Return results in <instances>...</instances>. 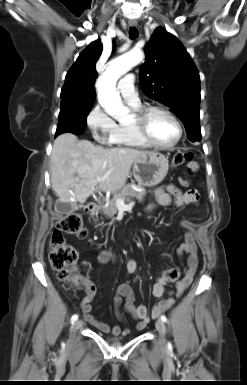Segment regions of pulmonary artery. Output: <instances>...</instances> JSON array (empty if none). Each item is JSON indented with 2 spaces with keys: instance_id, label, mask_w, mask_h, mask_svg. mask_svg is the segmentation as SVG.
Wrapping results in <instances>:
<instances>
[{
  "instance_id": "e3ab8cb5",
  "label": "pulmonary artery",
  "mask_w": 247,
  "mask_h": 385,
  "mask_svg": "<svg viewBox=\"0 0 247 385\" xmlns=\"http://www.w3.org/2000/svg\"><path fill=\"white\" fill-rule=\"evenodd\" d=\"M122 98L132 106L139 105L138 93L134 87V75L128 74L123 77L118 85Z\"/></svg>"
}]
</instances>
